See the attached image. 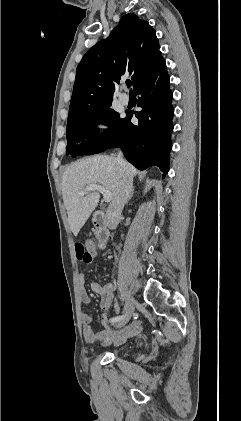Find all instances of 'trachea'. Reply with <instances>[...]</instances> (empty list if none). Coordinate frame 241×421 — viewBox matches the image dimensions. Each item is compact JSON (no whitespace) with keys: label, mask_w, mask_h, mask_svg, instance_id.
I'll list each match as a JSON object with an SVG mask.
<instances>
[{"label":"trachea","mask_w":241,"mask_h":421,"mask_svg":"<svg viewBox=\"0 0 241 421\" xmlns=\"http://www.w3.org/2000/svg\"><path fill=\"white\" fill-rule=\"evenodd\" d=\"M126 85H127L128 88H130L131 85H132L131 81L130 80L126 81Z\"/></svg>","instance_id":"3493384b"}]
</instances>
